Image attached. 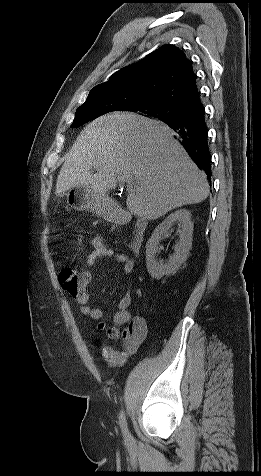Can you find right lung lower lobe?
I'll return each mask as SVG.
<instances>
[{"instance_id":"right-lung-lower-lobe-1","label":"right lung lower lobe","mask_w":261,"mask_h":476,"mask_svg":"<svg viewBox=\"0 0 261 476\" xmlns=\"http://www.w3.org/2000/svg\"><path fill=\"white\" fill-rule=\"evenodd\" d=\"M176 134L192 160L211 178V155L208 147V129L201 100L170 120H165Z\"/></svg>"}]
</instances>
